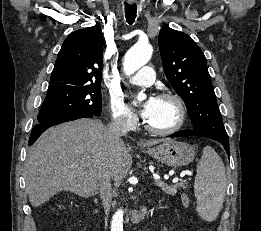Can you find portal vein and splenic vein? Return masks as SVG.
Here are the masks:
<instances>
[{
	"instance_id": "18ae733b",
	"label": "portal vein and splenic vein",
	"mask_w": 261,
	"mask_h": 231,
	"mask_svg": "<svg viewBox=\"0 0 261 231\" xmlns=\"http://www.w3.org/2000/svg\"><path fill=\"white\" fill-rule=\"evenodd\" d=\"M155 182H156L157 185H163V184H165L163 181L160 180L159 177H158V178H155ZM173 182H176V181H173Z\"/></svg>"
}]
</instances>
